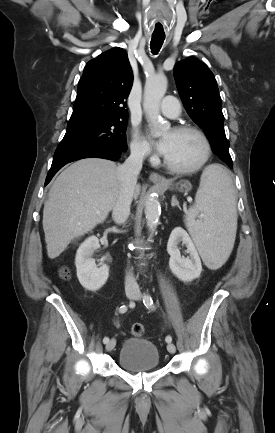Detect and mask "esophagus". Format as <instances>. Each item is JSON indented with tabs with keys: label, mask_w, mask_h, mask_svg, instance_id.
<instances>
[{
	"label": "esophagus",
	"mask_w": 275,
	"mask_h": 433,
	"mask_svg": "<svg viewBox=\"0 0 275 433\" xmlns=\"http://www.w3.org/2000/svg\"><path fill=\"white\" fill-rule=\"evenodd\" d=\"M149 179L151 182H153L156 185H165L167 184V180L161 176L160 174L156 173V172H151L149 175Z\"/></svg>",
	"instance_id": "34e87169"
}]
</instances>
